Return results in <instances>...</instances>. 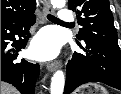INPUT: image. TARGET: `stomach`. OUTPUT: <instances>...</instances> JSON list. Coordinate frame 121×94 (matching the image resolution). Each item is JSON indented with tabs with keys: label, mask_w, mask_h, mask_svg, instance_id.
Instances as JSON below:
<instances>
[{
	"label": "stomach",
	"mask_w": 121,
	"mask_h": 94,
	"mask_svg": "<svg viewBox=\"0 0 121 94\" xmlns=\"http://www.w3.org/2000/svg\"><path fill=\"white\" fill-rule=\"evenodd\" d=\"M75 94H108L107 90L99 84L89 83L82 87L81 92ZM80 92V93H79Z\"/></svg>",
	"instance_id": "obj_1"
}]
</instances>
